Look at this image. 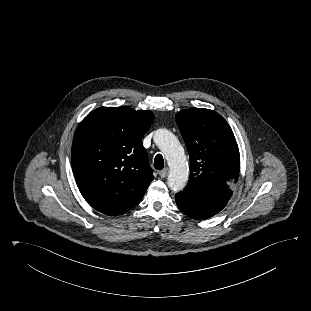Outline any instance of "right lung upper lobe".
<instances>
[{
  "mask_svg": "<svg viewBox=\"0 0 311 311\" xmlns=\"http://www.w3.org/2000/svg\"><path fill=\"white\" fill-rule=\"evenodd\" d=\"M151 111L101 107L75 133L71 162L77 186L96 210L111 216L134 208L154 179L142 144Z\"/></svg>",
  "mask_w": 311,
  "mask_h": 311,
  "instance_id": "cb5924a9",
  "label": "right lung upper lobe"
}]
</instances>
